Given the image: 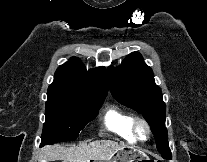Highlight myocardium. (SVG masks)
<instances>
[{"instance_id": "myocardium-1", "label": "myocardium", "mask_w": 207, "mask_h": 162, "mask_svg": "<svg viewBox=\"0 0 207 162\" xmlns=\"http://www.w3.org/2000/svg\"><path fill=\"white\" fill-rule=\"evenodd\" d=\"M141 127L144 129L145 132L144 137L139 136V129ZM131 132L135 141L144 142L149 139L151 130L148 122L145 119L141 117H136L132 121Z\"/></svg>"}]
</instances>
